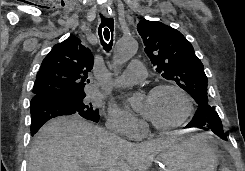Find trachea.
Listing matches in <instances>:
<instances>
[{
	"label": "trachea",
	"mask_w": 245,
	"mask_h": 171,
	"mask_svg": "<svg viewBox=\"0 0 245 171\" xmlns=\"http://www.w3.org/2000/svg\"><path fill=\"white\" fill-rule=\"evenodd\" d=\"M101 16V23L98 28V34L105 51H110L113 44L114 22L112 18Z\"/></svg>",
	"instance_id": "obj_1"
}]
</instances>
